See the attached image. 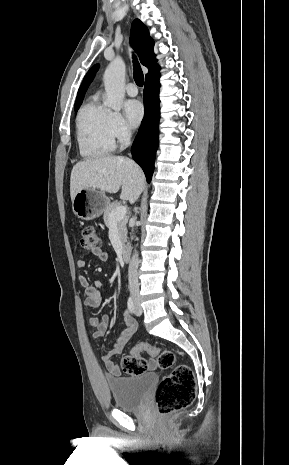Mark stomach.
I'll return each mask as SVG.
<instances>
[{
  "instance_id": "0dacf381",
  "label": "stomach",
  "mask_w": 289,
  "mask_h": 465,
  "mask_svg": "<svg viewBox=\"0 0 289 465\" xmlns=\"http://www.w3.org/2000/svg\"><path fill=\"white\" fill-rule=\"evenodd\" d=\"M109 204V198L104 192L88 188L75 195L72 209L78 218L89 221L101 216Z\"/></svg>"
}]
</instances>
